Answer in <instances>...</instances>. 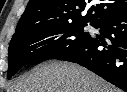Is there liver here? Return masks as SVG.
Returning a JSON list of instances; mask_svg holds the SVG:
<instances>
[{"mask_svg":"<svg viewBox=\"0 0 127 92\" xmlns=\"http://www.w3.org/2000/svg\"><path fill=\"white\" fill-rule=\"evenodd\" d=\"M8 92H120L79 65L51 61L36 66Z\"/></svg>","mask_w":127,"mask_h":92,"instance_id":"liver-1","label":"liver"}]
</instances>
